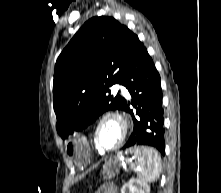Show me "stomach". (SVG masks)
Returning a JSON list of instances; mask_svg holds the SVG:
<instances>
[{"label": "stomach", "mask_w": 221, "mask_h": 193, "mask_svg": "<svg viewBox=\"0 0 221 193\" xmlns=\"http://www.w3.org/2000/svg\"><path fill=\"white\" fill-rule=\"evenodd\" d=\"M63 138H69L64 155H69L70 159H75L77 167H90L89 158L91 150H87L86 142H82V137H76V133H63Z\"/></svg>", "instance_id": "1"}]
</instances>
